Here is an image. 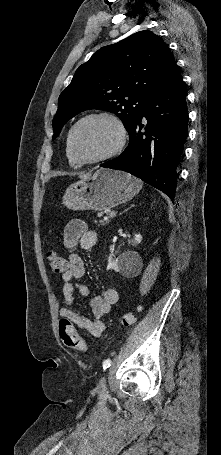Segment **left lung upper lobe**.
I'll return each instance as SVG.
<instances>
[{
    "mask_svg": "<svg viewBox=\"0 0 221 455\" xmlns=\"http://www.w3.org/2000/svg\"><path fill=\"white\" fill-rule=\"evenodd\" d=\"M174 65L166 44L151 31L102 47L76 70L59 96L53 139L69 119L89 109L116 114L130 133L147 98Z\"/></svg>",
    "mask_w": 221,
    "mask_h": 455,
    "instance_id": "obj_1",
    "label": "left lung upper lobe"
}]
</instances>
